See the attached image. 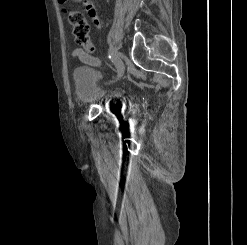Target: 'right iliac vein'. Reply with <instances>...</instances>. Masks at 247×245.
<instances>
[{"label":"right iliac vein","mask_w":247,"mask_h":245,"mask_svg":"<svg viewBox=\"0 0 247 245\" xmlns=\"http://www.w3.org/2000/svg\"><path fill=\"white\" fill-rule=\"evenodd\" d=\"M111 53L113 57H110L109 61L116 66L118 72L117 79H119L124 73V64L121 60L120 53L114 47H111Z\"/></svg>","instance_id":"obj_1"}]
</instances>
